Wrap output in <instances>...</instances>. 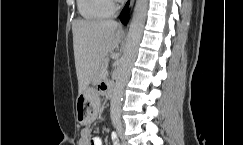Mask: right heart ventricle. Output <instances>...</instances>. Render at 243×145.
Masks as SVG:
<instances>
[{
	"mask_svg": "<svg viewBox=\"0 0 243 145\" xmlns=\"http://www.w3.org/2000/svg\"><path fill=\"white\" fill-rule=\"evenodd\" d=\"M79 13L86 20H100L113 13L111 0H77Z\"/></svg>",
	"mask_w": 243,
	"mask_h": 145,
	"instance_id": "e07e8e85",
	"label": "right heart ventricle"
}]
</instances>
